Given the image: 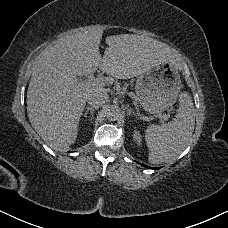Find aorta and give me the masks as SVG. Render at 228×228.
<instances>
[{"instance_id":"aorta-1","label":"aorta","mask_w":228,"mask_h":228,"mask_svg":"<svg viewBox=\"0 0 228 228\" xmlns=\"http://www.w3.org/2000/svg\"><path fill=\"white\" fill-rule=\"evenodd\" d=\"M119 114V107L110 106L107 110V118L110 120H115Z\"/></svg>"}]
</instances>
